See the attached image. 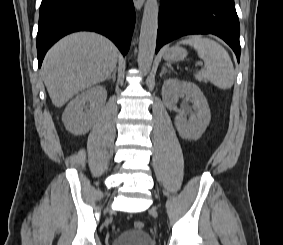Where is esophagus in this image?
Instances as JSON below:
<instances>
[{
    "label": "esophagus",
    "instance_id": "obj_1",
    "mask_svg": "<svg viewBox=\"0 0 283 245\" xmlns=\"http://www.w3.org/2000/svg\"><path fill=\"white\" fill-rule=\"evenodd\" d=\"M133 2L137 10H140L144 4V0H133Z\"/></svg>",
    "mask_w": 283,
    "mask_h": 245
}]
</instances>
